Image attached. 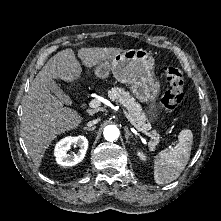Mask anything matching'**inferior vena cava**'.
<instances>
[{
	"label": "inferior vena cava",
	"instance_id": "1",
	"mask_svg": "<svg viewBox=\"0 0 221 221\" xmlns=\"http://www.w3.org/2000/svg\"><path fill=\"white\" fill-rule=\"evenodd\" d=\"M101 119L100 118H97V119H94V120H91L87 123V126L88 127H92L94 126L95 124H97Z\"/></svg>",
	"mask_w": 221,
	"mask_h": 221
}]
</instances>
